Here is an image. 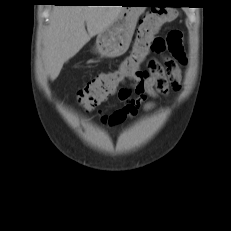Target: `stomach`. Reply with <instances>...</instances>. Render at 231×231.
<instances>
[{"mask_svg":"<svg viewBox=\"0 0 231 231\" xmlns=\"http://www.w3.org/2000/svg\"><path fill=\"white\" fill-rule=\"evenodd\" d=\"M144 10L145 7H124L114 23L97 35L95 50L101 56L109 58L124 54L131 43L137 20Z\"/></svg>","mask_w":231,"mask_h":231,"instance_id":"obj_1","label":"stomach"}]
</instances>
